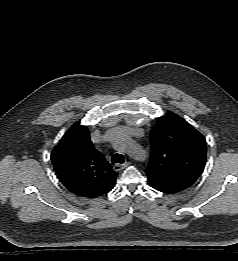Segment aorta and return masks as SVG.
Wrapping results in <instances>:
<instances>
[{
	"label": "aorta",
	"instance_id": "obj_1",
	"mask_svg": "<svg viewBox=\"0 0 238 261\" xmlns=\"http://www.w3.org/2000/svg\"><path fill=\"white\" fill-rule=\"evenodd\" d=\"M115 134H116V138H114V140L118 139L122 142V148L126 153H128L133 157H137L142 153L141 148L133 144L131 140L125 135H123L121 132L117 131Z\"/></svg>",
	"mask_w": 238,
	"mask_h": 261
}]
</instances>
